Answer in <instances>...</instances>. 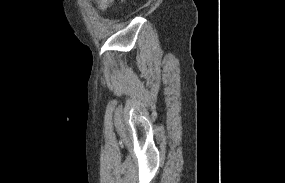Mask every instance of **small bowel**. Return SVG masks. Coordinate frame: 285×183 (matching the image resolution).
I'll use <instances>...</instances> for the list:
<instances>
[{"label": "small bowel", "mask_w": 285, "mask_h": 183, "mask_svg": "<svg viewBox=\"0 0 285 183\" xmlns=\"http://www.w3.org/2000/svg\"><path fill=\"white\" fill-rule=\"evenodd\" d=\"M113 0H98L99 7L102 11L106 10Z\"/></svg>", "instance_id": "c3829d8e"}]
</instances>
